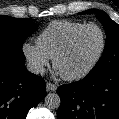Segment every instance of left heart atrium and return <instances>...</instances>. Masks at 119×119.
<instances>
[{
    "instance_id": "left-heart-atrium-1",
    "label": "left heart atrium",
    "mask_w": 119,
    "mask_h": 119,
    "mask_svg": "<svg viewBox=\"0 0 119 119\" xmlns=\"http://www.w3.org/2000/svg\"><path fill=\"white\" fill-rule=\"evenodd\" d=\"M57 74L61 75L58 71H57Z\"/></svg>"
}]
</instances>
